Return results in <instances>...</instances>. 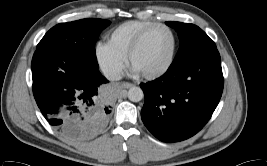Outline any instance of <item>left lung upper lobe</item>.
Segmentation results:
<instances>
[{
    "label": "left lung upper lobe",
    "instance_id": "5c2ea615",
    "mask_svg": "<svg viewBox=\"0 0 267 166\" xmlns=\"http://www.w3.org/2000/svg\"><path fill=\"white\" fill-rule=\"evenodd\" d=\"M174 28L180 39V48L172 64L182 63L203 52L217 49L213 40L198 26L181 22H166Z\"/></svg>",
    "mask_w": 267,
    "mask_h": 166
}]
</instances>
